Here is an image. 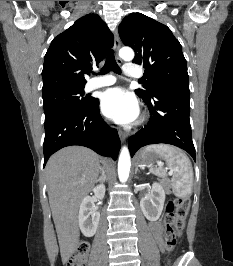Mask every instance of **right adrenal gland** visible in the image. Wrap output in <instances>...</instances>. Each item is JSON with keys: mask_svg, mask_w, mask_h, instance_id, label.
<instances>
[{"mask_svg": "<svg viewBox=\"0 0 233 266\" xmlns=\"http://www.w3.org/2000/svg\"><path fill=\"white\" fill-rule=\"evenodd\" d=\"M105 180H106V177L104 174H102V176L97 180V182L101 183V185H104Z\"/></svg>", "mask_w": 233, "mask_h": 266, "instance_id": "right-adrenal-gland-1", "label": "right adrenal gland"}]
</instances>
